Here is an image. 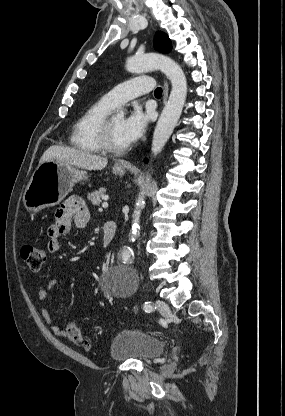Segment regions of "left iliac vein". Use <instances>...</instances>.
<instances>
[{"instance_id": "obj_1", "label": "left iliac vein", "mask_w": 285, "mask_h": 416, "mask_svg": "<svg viewBox=\"0 0 285 416\" xmlns=\"http://www.w3.org/2000/svg\"><path fill=\"white\" fill-rule=\"evenodd\" d=\"M156 307L164 316H167L169 314V306L165 301L157 299Z\"/></svg>"}]
</instances>
